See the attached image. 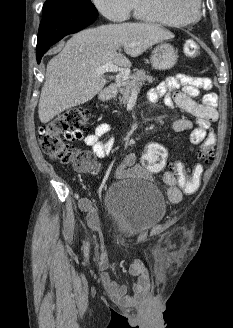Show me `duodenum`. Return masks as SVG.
<instances>
[{"label": "duodenum", "mask_w": 233, "mask_h": 328, "mask_svg": "<svg viewBox=\"0 0 233 328\" xmlns=\"http://www.w3.org/2000/svg\"><path fill=\"white\" fill-rule=\"evenodd\" d=\"M116 91H117V85L116 84H111V85L107 86L106 88H104L100 92L99 98L102 101H107L115 95Z\"/></svg>", "instance_id": "duodenum-1"}]
</instances>
